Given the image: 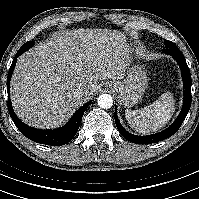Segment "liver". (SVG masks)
<instances>
[{
  "instance_id": "liver-1",
  "label": "liver",
  "mask_w": 199,
  "mask_h": 199,
  "mask_svg": "<svg viewBox=\"0 0 199 199\" xmlns=\"http://www.w3.org/2000/svg\"><path fill=\"white\" fill-rule=\"evenodd\" d=\"M131 48L119 30L74 29L22 54L11 80L16 115L36 128H57L91 99L99 80L123 79ZM84 89L81 98L74 96Z\"/></svg>"
}]
</instances>
